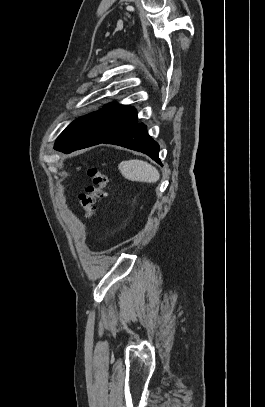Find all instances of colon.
<instances>
[{
  "label": "colon",
  "mask_w": 265,
  "mask_h": 407,
  "mask_svg": "<svg viewBox=\"0 0 265 407\" xmlns=\"http://www.w3.org/2000/svg\"><path fill=\"white\" fill-rule=\"evenodd\" d=\"M87 175L90 179V185L80 195V202L85 219L90 221L95 214L97 201L102 200L106 196L108 177L96 166L88 167Z\"/></svg>",
  "instance_id": "obj_1"
}]
</instances>
